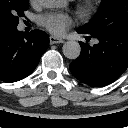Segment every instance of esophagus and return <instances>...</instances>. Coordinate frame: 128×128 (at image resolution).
Here are the masks:
<instances>
[{
  "label": "esophagus",
  "mask_w": 128,
  "mask_h": 128,
  "mask_svg": "<svg viewBox=\"0 0 128 128\" xmlns=\"http://www.w3.org/2000/svg\"><path fill=\"white\" fill-rule=\"evenodd\" d=\"M49 40H50V44L51 45L58 44V43H63L64 42V40L62 38L55 37V36H50L49 37Z\"/></svg>",
  "instance_id": "34e87169"
}]
</instances>
